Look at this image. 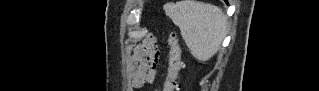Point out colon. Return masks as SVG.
<instances>
[{
	"label": "colon",
	"instance_id": "obj_1",
	"mask_svg": "<svg viewBox=\"0 0 319 91\" xmlns=\"http://www.w3.org/2000/svg\"><path fill=\"white\" fill-rule=\"evenodd\" d=\"M168 44L170 46V58L163 90L175 91L177 90V76L182 67L181 46L175 33L170 34ZM157 60L158 50L153 44H150L140 58V65L145 70L152 69L157 65Z\"/></svg>",
	"mask_w": 319,
	"mask_h": 91
}]
</instances>
